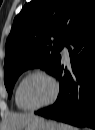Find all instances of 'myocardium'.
I'll list each match as a JSON object with an SVG mask.
<instances>
[{"mask_svg": "<svg viewBox=\"0 0 95 130\" xmlns=\"http://www.w3.org/2000/svg\"><path fill=\"white\" fill-rule=\"evenodd\" d=\"M33 76H43L45 78H47L51 83H52V86H53V93H52V96L51 98L45 102L44 104L42 105H39L37 107H28L26 105L23 104V102L21 101V88L23 86V84L31 77ZM59 90H60V86H59V82L58 80L49 72L47 71H44V70H35L29 74H27L19 83L17 89H16V102L17 104L19 105V107L23 110H26V111H37L39 109H42L44 107H47L51 104H53L55 102V100L57 99L58 97V94H59Z\"/></svg>", "mask_w": 95, "mask_h": 130, "instance_id": "obj_1", "label": "myocardium"}]
</instances>
